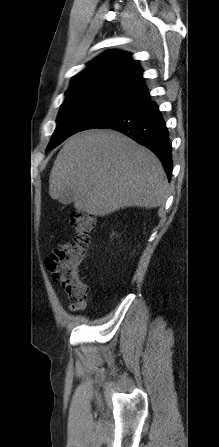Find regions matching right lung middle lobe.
Returning <instances> with one entry per match:
<instances>
[{
    "instance_id": "obj_1",
    "label": "right lung middle lobe",
    "mask_w": 219,
    "mask_h": 447,
    "mask_svg": "<svg viewBox=\"0 0 219 447\" xmlns=\"http://www.w3.org/2000/svg\"><path fill=\"white\" fill-rule=\"evenodd\" d=\"M139 98L110 87H74L66 98L57 117V127L46 150L55 148L69 136L86 129L97 128L142 104Z\"/></svg>"
}]
</instances>
